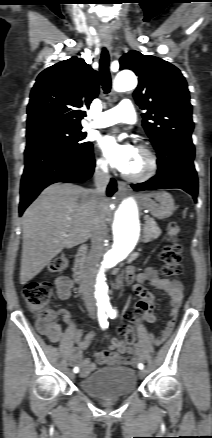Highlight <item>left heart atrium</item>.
I'll use <instances>...</instances> for the list:
<instances>
[{
  "mask_svg": "<svg viewBox=\"0 0 212 438\" xmlns=\"http://www.w3.org/2000/svg\"><path fill=\"white\" fill-rule=\"evenodd\" d=\"M100 146L109 162L122 172H127L138 152L133 145L122 144L113 136H104Z\"/></svg>",
  "mask_w": 212,
  "mask_h": 438,
  "instance_id": "1",
  "label": "left heart atrium"
}]
</instances>
